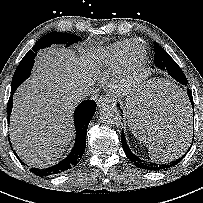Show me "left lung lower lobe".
Here are the masks:
<instances>
[{
    "mask_svg": "<svg viewBox=\"0 0 203 203\" xmlns=\"http://www.w3.org/2000/svg\"><path fill=\"white\" fill-rule=\"evenodd\" d=\"M157 64H158V66H160V69L167 71L168 74L171 75V77H173L176 81H178L179 83H182L184 85L187 84V79H186L184 73L182 72V70L180 69L178 64L170 57V55L168 53H164L163 55L161 54L157 58ZM187 94H188L190 103L193 106L192 91L190 89H188ZM186 101L188 102L187 98H186ZM138 105L140 107L139 111L141 112L139 119L142 120L146 125H151V124L154 125L157 122V118H158V116H160L161 111H158V109H156V107H153L152 105L148 104L146 99L141 101L140 104H138ZM187 105H189V103H187ZM187 105L184 106L186 108H184L185 110L182 112L183 114H181L183 116V118L186 120V121H184L181 130H184V128H185V132H186V129L190 132V113L188 116H186L188 114V111H190V109H189V106H187ZM193 110H194V106H193ZM121 112H122V110H121ZM121 142H122L124 152H125L126 156L130 159V161L133 162L135 166H137L141 169H144V170H149V171L166 170L170 167L177 165L186 156V154L188 153V151L190 150V148L192 146L191 145L189 147V149L187 150V152L184 155H182L180 158H178L177 160L172 161L167 164H161L160 162H158V163L147 162V161H144V160L138 158L136 155H134L127 145L123 131L121 133Z\"/></svg>",
    "mask_w": 203,
    "mask_h": 203,
    "instance_id": "obj_1",
    "label": "left lung lower lobe"
}]
</instances>
